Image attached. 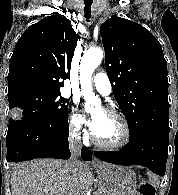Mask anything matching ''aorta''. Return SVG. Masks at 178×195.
Instances as JSON below:
<instances>
[{
    "label": "aorta",
    "instance_id": "obj_1",
    "mask_svg": "<svg viewBox=\"0 0 178 195\" xmlns=\"http://www.w3.org/2000/svg\"><path fill=\"white\" fill-rule=\"evenodd\" d=\"M103 59V50L100 48L86 51L80 65V84L85 98V111L89 112L93 106H99L100 101L93 94L92 74Z\"/></svg>",
    "mask_w": 178,
    "mask_h": 195
}]
</instances>
